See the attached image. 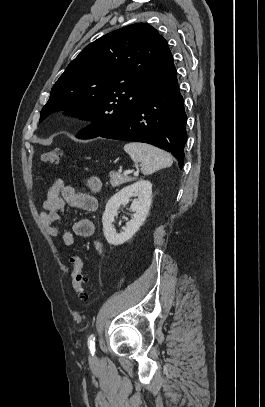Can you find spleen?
Masks as SVG:
<instances>
[{
  "instance_id": "1",
  "label": "spleen",
  "mask_w": 265,
  "mask_h": 407,
  "mask_svg": "<svg viewBox=\"0 0 265 407\" xmlns=\"http://www.w3.org/2000/svg\"><path fill=\"white\" fill-rule=\"evenodd\" d=\"M124 151L129 154L135 163H140L141 172L144 175L170 167L173 163L170 154L146 143H127L124 146Z\"/></svg>"
}]
</instances>
